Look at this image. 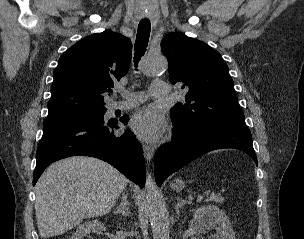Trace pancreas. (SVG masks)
I'll return each instance as SVG.
<instances>
[{"label": "pancreas", "mask_w": 304, "mask_h": 239, "mask_svg": "<svg viewBox=\"0 0 304 239\" xmlns=\"http://www.w3.org/2000/svg\"><path fill=\"white\" fill-rule=\"evenodd\" d=\"M208 202H214V203H222L223 202V198L221 196H210L207 199Z\"/></svg>", "instance_id": "pancreas-1"}]
</instances>
